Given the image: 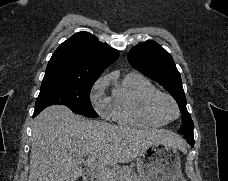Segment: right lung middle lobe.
Returning <instances> with one entry per match:
<instances>
[{
  "label": "right lung middle lobe",
  "mask_w": 228,
  "mask_h": 181,
  "mask_svg": "<svg viewBox=\"0 0 228 181\" xmlns=\"http://www.w3.org/2000/svg\"><path fill=\"white\" fill-rule=\"evenodd\" d=\"M95 81L44 78L39 96L36 99L34 112L40 113L47 106L61 104L69 107L74 113L89 118L97 117L98 115L89 98L90 90Z\"/></svg>",
  "instance_id": "obj_1"
}]
</instances>
